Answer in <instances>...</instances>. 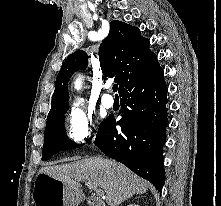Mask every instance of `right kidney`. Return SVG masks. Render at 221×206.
<instances>
[{
	"instance_id": "1",
	"label": "right kidney",
	"mask_w": 221,
	"mask_h": 206,
	"mask_svg": "<svg viewBox=\"0 0 221 206\" xmlns=\"http://www.w3.org/2000/svg\"><path fill=\"white\" fill-rule=\"evenodd\" d=\"M128 206H139V205H136V204H129Z\"/></svg>"
}]
</instances>
